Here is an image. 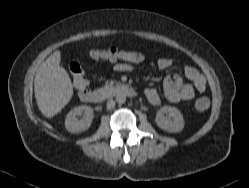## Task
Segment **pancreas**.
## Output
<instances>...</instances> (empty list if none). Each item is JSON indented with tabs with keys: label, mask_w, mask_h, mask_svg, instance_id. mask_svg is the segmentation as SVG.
Returning <instances> with one entry per match:
<instances>
[{
	"label": "pancreas",
	"mask_w": 249,
	"mask_h": 188,
	"mask_svg": "<svg viewBox=\"0 0 249 188\" xmlns=\"http://www.w3.org/2000/svg\"><path fill=\"white\" fill-rule=\"evenodd\" d=\"M113 86H114V81L113 80H110V81H107L106 83H105V88H107V89H111V88H113Z\"/></svg>",
	"instance_id": "pancreas-1"
}]
</instances>
